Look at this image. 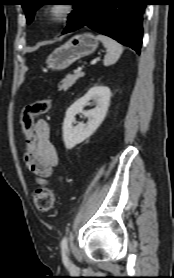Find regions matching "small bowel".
Masks as SVG:
<instances>
[{"instance_id":"1","label":"small bowel","mask_w":174,"mask_h":278,"mask_svg":"<svg viewBox=\"0 0 174 278\" xmlns=\"http://www.w3.org/2000/svg\"><path fill=\"white\" fill-rule=\"evenodd\" d=\"M38 144L36 150L25 155L28 169L37 176L40 184H46L58 165L57 151L50 141V125L45 119H38L34 124Z\"/></svg>"}]
</instances>
